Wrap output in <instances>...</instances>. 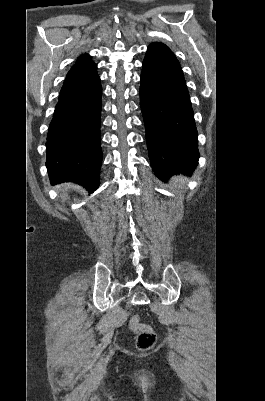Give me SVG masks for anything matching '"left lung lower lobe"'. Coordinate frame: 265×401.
I'll list each match as a JSON object with an SVG mask.
<instances>
[{
    "label": "left lung lower lobe",
    "instance_id": "0a47b994",
    "mask_svg": "<svg viewBox=\"0 0 265 401\" xmlns=\"http://www.w3.org/2000/svg\"><path fill=\"white\" fill-rule=\"evenodd\" d=\"M140 106L150 163L156 176L191 174L198 163L197 130L180 65L145 57Z\"/></svg>",
    "mask_w": 265,
    "mask_h": 401
}]
</instances>
